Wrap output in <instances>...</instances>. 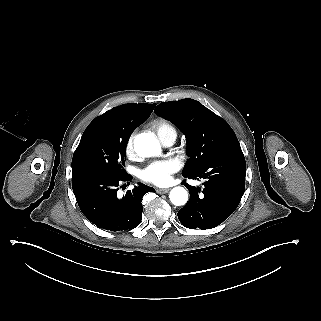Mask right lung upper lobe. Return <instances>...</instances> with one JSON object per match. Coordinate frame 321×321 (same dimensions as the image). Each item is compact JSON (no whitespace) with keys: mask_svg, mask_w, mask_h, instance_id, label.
Segmentation results:
<instances>
[{"mask_svg":"<svg viewBox=\"0 0 321 321\" xmlns=\"http://www.w3.org/2000/svg\"><path fill=\"white\" fill-rule=\"evenodd\" d=\"M155 104H124L115 107L101 117H106L116 126L137 127L146 120L153 111Z\"/></svg>","mask_w":321,"mask_h":321,"instance_id":"obj_1","label":"right lung upper lobe"}]
</instances>
